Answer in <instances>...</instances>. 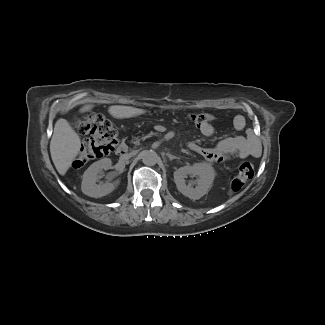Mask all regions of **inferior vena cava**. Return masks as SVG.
I'll list each match as a JSON object with an SVG mask.
<instances>
[{
  "mask_svg": "<svg viewBox=\"0 0 325 325\" xmlns=\"http://www.w3.org/2000/svg\"><path fill=\"white\" fill-rule=\"evenodd\" d=\"M130 157H131V154H126V155H124L123 158H124L125 160H128Z\"/></svg>",
  "mask_w": 325,
  "mask_h": 325,
  "instance_id": "602c4592",
  "label": "inferior vena cava"
}]
</instances>
